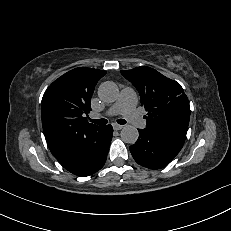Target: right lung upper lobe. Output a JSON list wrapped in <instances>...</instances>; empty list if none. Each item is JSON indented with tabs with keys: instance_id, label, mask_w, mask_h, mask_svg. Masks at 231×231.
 Returning <instances> with one entry per match:
<instances>
[{
	"instance_id": "obj_1",
	"label": "right lung upper lobe",
	"mask_w": 231,
	"mask_h": 231,
	"mask_svg": "<svg viewBox=\"0 0 231 231\" xmlns=\"http://www.w3.org/2000/svg\"><path fill=\"white\" fill-rule=\"evenodd\" d=\"M106 71L86 67L75 68L46 90L42 99V126L46 141L54 156L71 147L80 130L94 127L85 115L98 80Z\"/></svg>"
}]
</instances>
